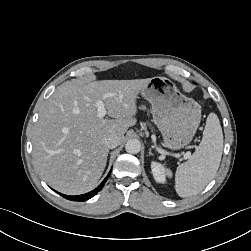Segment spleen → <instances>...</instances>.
Returning a JSON list of instances; mask_svg holds the SVG:
<instances>
[{
	"label": "spleen",
	"instance_id": "3e777b00",
	"mask_svg": "<svg viewBox=\"0 0 251 251\" xmlns=\"http://www.w3.org/2000/svg\"><path fill=\"white\" fill-rule=\"evenodd\" d=\"M223 133L220 121L215 113L206 120L203 138L193 155L177 167L175 189L182 197L200 193L215 176L222 157ZM169 176L171 171L167 170Z\"/></svg>",
	"mask_w": 251,
	"mask_h": 251
}]
</instances>
